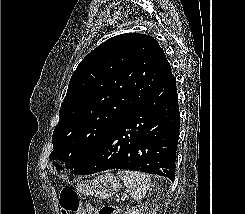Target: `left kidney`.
Returning <instances> with one entry per match:
<instances>
[{
	"instance_id": "left-kidney-1",
	"label": "left kidney",
	"mask_w": 245,
	"mask_h": 214,
	"mask_svg": "<svg viewBox=\"0 0 245 214\" xmlns=\"http://www.w3.org/2000/svg\"><path fill=\"white\" fill-rule=\"evenodd\" d=\"M125 214H142L141 208L140 207L139 208L133 207L129 211L125 212Z\"/></svg>"
}]
</instances>
